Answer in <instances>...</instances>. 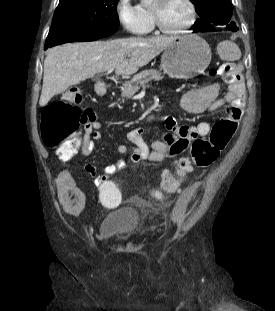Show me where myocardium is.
I'll use <instances>...</instances> for the list:
<instances>
[{
    "label": "myocardium",
    "mask_w": 275,
    "mask_h": 311,
    "mask_svg": "<svg viewBox=\"0 0 275 311\" xmlns=\"http://www.w3.org/2000/svg\"><path fill=\"white\" fill-rule=\"evenodd\" d=\"M157 1L164 2L165 0H157ZM184 1L187 3L189 7L190 19L184 26L178 29H168L167 27H165L160 18L159 11L156 8L152 7L151 12L153 16L154 25L161 33L165 35L182 34V33H185L187 30H189L194 25V23L196 22V18H197L196 5L193 0H184Z\"/></svg>",
    "instance_id": "obj_1"
}]
</instances>
